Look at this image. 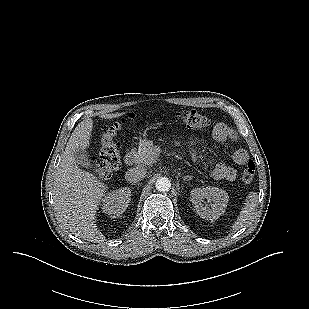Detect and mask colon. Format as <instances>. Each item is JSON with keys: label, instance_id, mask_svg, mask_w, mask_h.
Here are the masks:
<instances>
[{"label": "colon", "instance_id": "5ec220e1", "mask_svg": "<svg viewBox=\"0 0 309 309\" xmlns=\"http://www.w3.org/2000/svg\"><path fill=\"white\" fill-rule=\"evenodd\" d=\"M176 118L185 126L203 129L210 126V120L195 110H183L176 113ZM125 121L117 122L109 127L101 139V156L91 161L95 173L101 178H108L113 171L118 170L121 165L120 148L116 143V137L123 130ZM255 175V164L248 161L246 168L241 173V181L249 184Z\"/></svg>", "mask_w": 309, "mask_h": 309}]
</instances>
